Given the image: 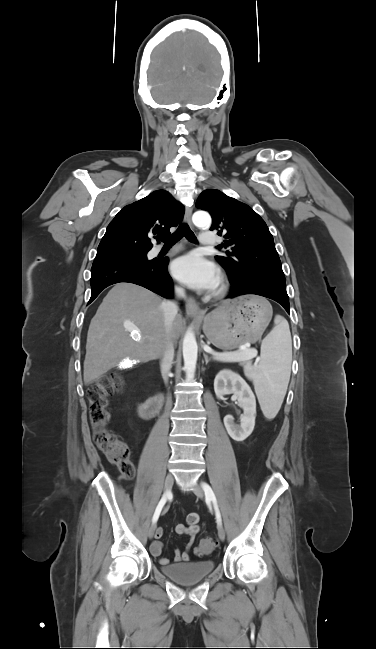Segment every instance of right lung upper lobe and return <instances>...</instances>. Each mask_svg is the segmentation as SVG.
Instances as JSON below:
<instances>
[{"label": "right lung upper lobe", "instance_id": "1", "mask_svg": "<svg viewBox=\"0 0 376 649\" xmlns=\"http://www.w3.org/2000/svg\"><path fill=\"white\" fill-rule=\"evenodd\" d=\"M184 207L169 192L157 190L125 206L110 222L97 255L149 251L154 238L170 234L183 218Z\"/></svg>", "mask_w": 376, "mask_h": 649}]
</instances>
